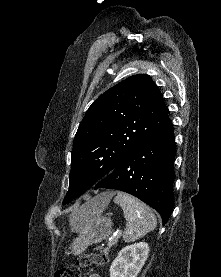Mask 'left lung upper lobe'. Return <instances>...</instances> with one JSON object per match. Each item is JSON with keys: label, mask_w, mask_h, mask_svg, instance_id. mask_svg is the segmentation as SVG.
<instances>
[{"label": "left lung upper lobe", "mask_w": 221, "mask_h": 277, "mask_svg": "<svg viewBox=\"0 0 221 277\" xmlns=\"http://www.w3.org/2000/svg\"><path fill=\"white\" fill-rule=\"evenodd\" d=\"M166 119L163 95L149 75L131 76L104 92L91 104L75 135L63 204L110 174Z\"/></svg>", "instance_id": "left-lung-upper-lobe-1"}]
</instances>
